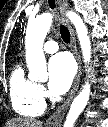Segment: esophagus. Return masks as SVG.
<instances>
[{
  "instance_id": "1",
  "label": "esophagus",
  "mask_w": 108,
  "mask_h": 127,
  "mask_svg": "<svg viewBox=\"0 0 108 127\" xmlns=\"http://www.w3.org/2000/svg\"><path fill=\"white\" fill-rule=\"evenodd\" d=\"M57 2L59 5L62 22L67 26V28L70 32V36H71L70 46H71L72 53H73V55L77 61V64H78V71L75 76V79H74V82H73V85H72V88H71V91H70L68 97L57 108V110L47 119V121H46L47 127H60L61 126L63 117L66 114V112L71 104V101L73 100V98L79 88L81 74H82V62H81L80 54L77 49L74 30H73V28L66 16V10L68 9V2H67V0H57Z\"/></svg>"
}]
</instances>
